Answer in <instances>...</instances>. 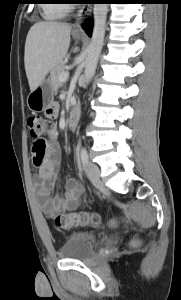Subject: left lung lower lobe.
Masks as SVG:
<instances>
[{
    "mask_svg": "<svg viewBox=\"0 0 181 300\" xmlns=\"http://www.w3.org/2000/svg\"><path fill=\"white\" fill-rule=\"evenodd\" d=\"M95 3V2H93ZM84 30L86 31V33L90 36L91 35V25L89 24V22H87L84 26H83Z\"/></svg>",
    "mask_w": 181,
    "mask_h": 300,
    "instance_id": "obj_1",
    "label": "left lung lower lobe"
}]
</instances>
